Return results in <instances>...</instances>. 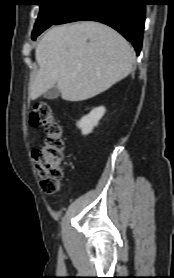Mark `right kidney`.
Listing matches in <instances>:
<instances>
[{
  "label": "right kidney",
  "instance_id": "1",
  "mask_svg": "<svg viewBox=\"0 0 174 278\" xmlns=\"http://www.w3.org/2000/svg\"><path fill=\"white\" fill-rule=\"evenodd\" d=\"M105 111L104 106L96 107L77 122V127L81 129L83 135H88L92 132L94 127L98 125L99 120L103 117Z\"/></svg>",
  "mask_w": 174,
  "mask_h": 278
}]
</instances>
